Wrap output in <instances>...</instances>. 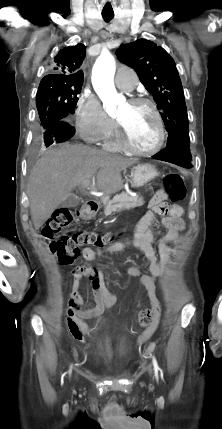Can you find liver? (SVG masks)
<instances>
[{
    "instance_id": "obj_1",
    "label": "liver",
    "mask_w": 222,
    "mask_h": 429,
    "mask_svg": "<svg viewBox=\"0 0 222 429\" xmlns=\"http://www.w3.org/2000/svg\"><path fill=\"white\" fill-rule=\"evenodd\" d=\"M135 160L113 156L84 145L63 144L45 151L31 170L27 194L31 218L38 230L70 191L96 176L97 187L116 193L121 171Z\"/></svg>"
}]
</instances>
